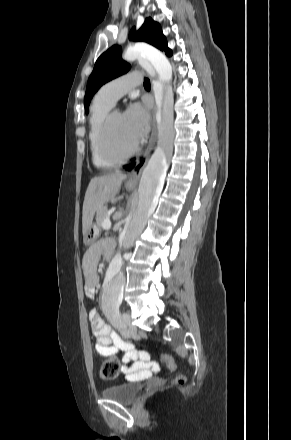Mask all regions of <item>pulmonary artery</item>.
I'll list each match as a JSON object with an SVG mask.
<instances>
[{
	"instance_id": "pulmonary-artery-1",
	"label": "pulmonary artery",
	"mask_w": 291,
	"mask_h": 440,
	"mask_svg": "<svg viewBox=\"0 0 291 440\" xmlns=\"http://www.w3.org/2000/svg\"><path fill=\"white\" fill-rule=\"evenodd\" d=\"M142 83V76L139 73H128L115 80L107 82L99 90V95L112 105L122 96L129 93L134 87Z\"/></svg>"
}]
</instances>
